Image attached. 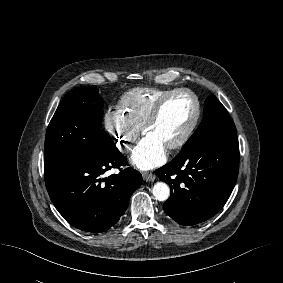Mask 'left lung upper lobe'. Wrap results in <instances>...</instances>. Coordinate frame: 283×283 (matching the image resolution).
Here are the masks:
<instances>
[{
  "mask_svg": "<svg viewBox=\"0 0 283 283\" xmlns=\"http://www.w3.org/2000/svg\"><path fill=\"white\" fill-rule=\"evenodd\" d=\"M203 114L204 117L199 127L182 149L198 142L236 134L237 131L233 120L228 115L225 107L213 94L206 99Z\"/></svg>",
  "mask_w": 283,
  "mask_h": 283,
  "instance_id": "1",
  "label": "left lung upper lobe"
}]
</instances>
